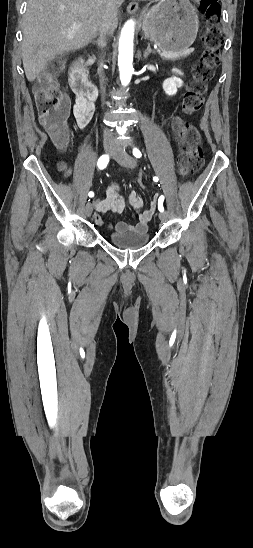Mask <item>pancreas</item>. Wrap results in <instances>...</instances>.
Here are the masks:
<instances>
[{
    "instance_id": "obj_1",
    "label": "pancreas",
    "mask_w": 253,
    "mask_h": 548,
    "mask_svg": "<svg viewBox=\"0 0 253 548\" xmlns=\"http://www.w3.org/2000/svg\"><path fill=\"white\" fill-rule=\"evenodd\" d=\"M158 52L160 53L161 57L165 60H178V59L187 57L191 53L190 50H186L182 53H172V52L159 51V50Z\"/></svg>"
}]
</instances>
